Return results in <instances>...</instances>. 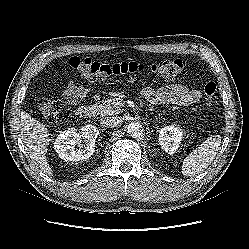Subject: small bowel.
Returning a JSON list of instances; mask_svg holds the SVG:
<instances>
[{"label": "small bowel", "instance_id": "1", "mask_svg": "<svg viewBox=\"0 0 249 249\" xmlns=\"http://www.w3.org/2000/svg\"><path fill=\"white\" fill-rule=\"evenodd\" d=\"M89 89L74 82H70L62 93V97L69 104L75 105L88 94ZM145 99L152 103L172 104L178 106H189L197 103L201 98L198 90L173 83L158 89L146 87L142 90Z\"/></svg>", "mask_w": 249, "mask_h": 249}]
</instances>
